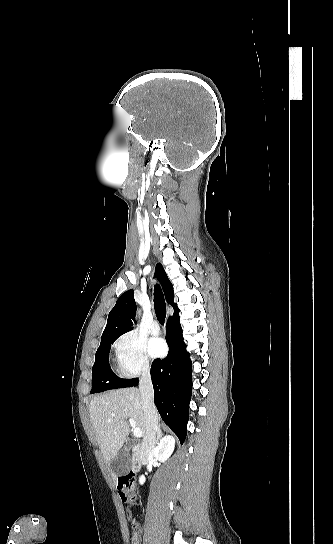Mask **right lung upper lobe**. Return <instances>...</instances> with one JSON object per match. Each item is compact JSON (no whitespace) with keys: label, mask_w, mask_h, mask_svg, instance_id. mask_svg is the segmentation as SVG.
Returning a JSON list of instances; mask_svg holds the SVG:
<instances>
[{"label":"right lung upper lobe","mask_w":333,"mask_h":544,"mask_svg":"<svg viewBox=\"0 0 333 544\" xmlns=\"http://www.w3.org/2000/svg\"><path fill=\"white\" fill-rule=\"evenodd\" d=\"M155 273L162 284L167 303L174 307V314L178 313L179 309L177 305L173 303V285L169 281L167 274L160 263L156 265ZM135 313L136 303L134 300L133 290H128L119 297L115 306L110 311L107 325L104 329L101 340L120 336L132 330V320L134 321L135 319Z\"/></svg>","instance_id":"1"}]
</instances>
